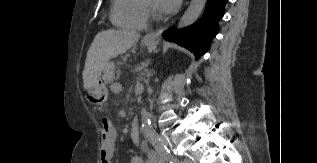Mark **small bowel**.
Segmentation results:
<instances>
[{
  "label": "small bowel",
  "instance_id": "small-bowel-1",
  "mask_svg": "<svg viewBox=\"0 0 317 163\" xmlns=\"http://www.w3.org/2000/svg\"><path fill=\"white\" fill-rule=\"evenodd\" d=\"M101 129V149L99 151L100 163H111L116 155V130L107 120L102 121ZM148 159L143 160L140 156H135L130 163H164V160L154 151L143 145Z\"/></svg>",
  "mask_w": 317,
  "mask_h": 163
}]
</instances>
